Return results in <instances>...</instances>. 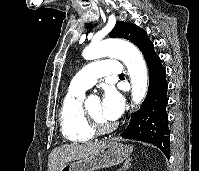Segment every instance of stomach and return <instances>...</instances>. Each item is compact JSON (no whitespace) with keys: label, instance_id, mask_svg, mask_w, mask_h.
Masks as SVG:
<instances>
[{"label":"stomach","instance_id":"1","mask_svg":"<svg viewBox=\"0 0 199 171\" xmlns=\"http://www.w3.org/2000/svg\"><path fill=\"white\" fill-rule=\"evenodd\" d=\"M132 150V146L111 140L96 153L64 164L60 171H96L118 165L130 156Z\"/></svg>","mask_w":199,"mask_h":171}]
</instances>
